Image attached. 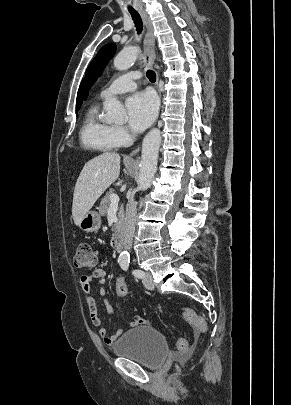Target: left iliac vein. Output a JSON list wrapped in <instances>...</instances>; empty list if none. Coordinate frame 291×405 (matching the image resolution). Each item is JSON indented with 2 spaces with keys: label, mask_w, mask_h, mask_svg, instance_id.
<instances>
[{
  "label": "left iliac vein",
  "mask_w": 291,
  "mask_h": 405,
  "mask_svg": "<svg viewBox=\"0 0 291 405\" xmlns=\"http://www.w3.org/2000/svg\"><path fill=\"white\" fill-rule=\"evenodd\" d=\"M142 282H143L144 286L149 290H153L155 288L153 278L149 272H144V276L142 277Z\"/></svg>",
  "instance_id": "4c4485c4"
}]
</instances>
